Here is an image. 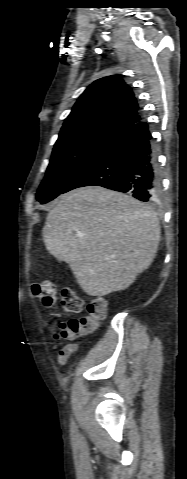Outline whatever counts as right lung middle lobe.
<instances>
[{"instance_id": "obj_1", "label": "right lung middle lobe", "mask_w": 187, "mask_h": 479, "mask_svg": "<svg viewBox=\"0 0 187 479\" xmlns=\"http://www.w3.org/2000/svg\"><path fill=\"white\" fill-rule=\"evenodd\" d=\"M123 131L105 125H92L59 134L41 183L37 200L51 201L85 167L97 159L122 135Z\"/></svg>"}]
</instances>
